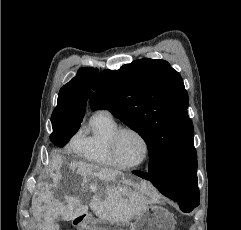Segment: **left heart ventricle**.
<instances>
[{
    "mask_svg": "<svg viewBox=\"0 0 241 230\" xmlns=\"http://www.w3.org/2000/svg\"><path fill=\"white\" fill-rule=\"evenodd\" d=\"M145 146L142 140L132 132L121 135L117 145V156L120 162L136 164L144 157Z\"/></svg>",
    "mask_w": 241,
    "mask_h": 230,
    "instance_id": "left-heart-ventricle-1",
    "label": "left heart ventricle"
}]
</instances>
